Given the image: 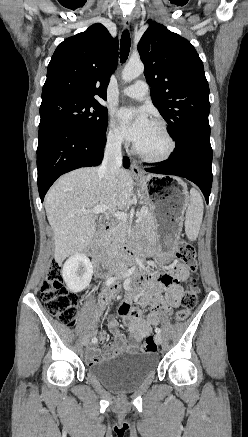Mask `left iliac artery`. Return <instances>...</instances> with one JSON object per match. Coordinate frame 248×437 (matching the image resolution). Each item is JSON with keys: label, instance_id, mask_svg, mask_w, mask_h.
I'll return each mask as SVG.
<instances>
[{"label": "left iliac artery", "instance_id": "1", "mask_svg": "<svg viewBox=\"0 0 248 437\" xmlns=\"http://www.w3.org/2000/svg\"><path fill=\"white\" fill-rule=\"evenodd\" d=\"M130 281H131V279L128 278V279H126L125 282H124V288H125L126 290H129V289H130ZM155 332H156V333H161V329L158 328V327H156V328H155Z\"/></svg>", "mask_w": 248, "mask_h": 437}]
</instances>
